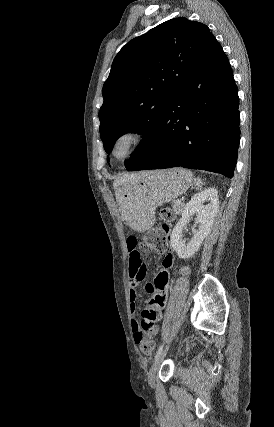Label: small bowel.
<instances>
[{
    "instance_id": "small-bowel-1",
    "label": "small bowel",
    "mask_w": 274,
    "mask_h": 427,
    "mask_svg": "<svg viewBox=\"0 0 274 427\" xmlns=\"http://www.w3.org/2000/svg\"><path fill=\"white\" fill-rule=\"evenodd\" d=\"M127 252L132 253L129 256V279H130V308L132 313V328L134 331V341L137 345L143 343L144 338H151L152 336L159 335V328L155 327V320H163L165 309L164 301H154L153 299H144L142 302L143 310L153 311H141L140 318L138 321L135 319V313L139 306V296L137 293V285L145 277L146 271L149 267V263L144 261L139 253H133L136 250L135 245L129 244L126 247ZM160 255H165V251H160ZM142 262V263H141ZM174 262V256L169 254L163 265V269H156L154 275L156 280H147L146 287L148 294H154L156 298H163L167 294V284L174 282V277L169 275L168 269ZM139 327L144 328V333Z\"/></svg>"
}]
</instances>
